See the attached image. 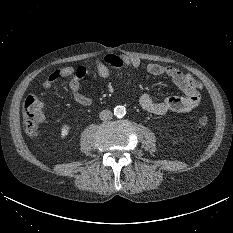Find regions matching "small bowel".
Returning <instances> with one entry per match:
<instances>
[{
	"mask_svg": "<svg viewBox=\"0 0 233 233\" xmlns=\"http://www.w3.org/2000/svg\"><path fill=\"white\" fill-rule=\"evenodd\" d=\"M97 74L101 78H109L110 68H144L153 76H167L183 92V96H170L162 101H155L149 94L143 93L139 96V105L146 111L153 114H165L168 112H190L195 109L201 100L202 85L190 74L175 67L156 63H143L136 56L124 54H108L103 59H96L93 62ZM88 69L84 65L78 67H64L52 72L42 83L44 89H49L52 84L60 78L72 77L69 88L76 103L81 106H90L93 99L80 90L81 81L87 75ZM127 82L125 87H129Z\"/></svg>",
	"mask_w": 233,
	"mask_h": 233,
	"instance_id": "1",
	"label": "small bowel"
}]
</instances>
